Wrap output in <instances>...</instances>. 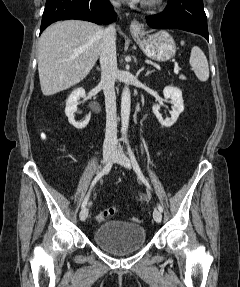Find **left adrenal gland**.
Listing matches in <instances>:
<instances>
[{
    "label": "left adrenal gland",
    "instance_id": "a2214340",
    "mask_svg": "<svg viewBox=\"0 0 240 287\" xmlns=\"http://www.w3.org/2000/svg\"><path fill=\"white\" fill-rule=\"evenodd\" d=\"M153 71L148 70L145 74V76H148L150 73H152Z\"/></svg>",
    "mask_w": 240,
    "mask_h": 287
}]
</instances>
